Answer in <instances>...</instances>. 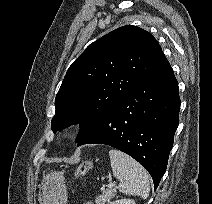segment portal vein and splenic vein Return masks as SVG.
I'll use <instances>...</instances> for the list:
<instances>
[{"mask_svg":"<svg viewBox=\"0 0 212 204\" xmlns=\"http://www.w3.org/2000/svg\"><path fill=\"white\" fill-rule=\"evenodd\" d=\"M113 185H114V184H112V183H109V184H108V187H111V186H113Z\"/></svg>","mask_w":212,"mask_h":204,"instance_id":"obj_1","label":"portal vein and splenic vein"}]
</instances>
